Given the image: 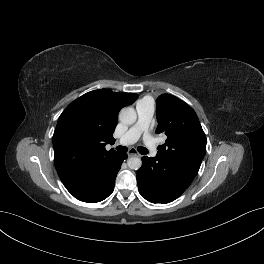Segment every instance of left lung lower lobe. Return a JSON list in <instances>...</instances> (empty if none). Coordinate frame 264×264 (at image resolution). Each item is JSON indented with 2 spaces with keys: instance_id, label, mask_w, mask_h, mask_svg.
Listing matches in <instances>:
<instances>
[{
  "instance_id": "obj_1",
  "label": "left lung lower lobe",
  "mask_w": 264,
  "mask_h": 264,
  "mask_svg": "<svg viewBox=\"0 0 264 264\" xmlns=\"http://www.w3.org/2000/svg\"><path fill=\"white\" fill-rule=\"evenodd\" d=\"M199 165L186 168L179 158L142 157L137 171L138 189L152 203H169L178 198L195 178Z\"/></svg>"
}]
</instances>
